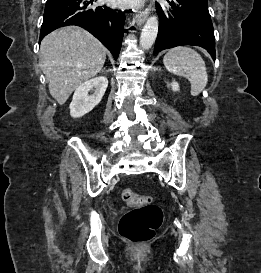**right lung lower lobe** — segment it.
Wrapping results in <instances>:
<instances>
[{
	"label": "right lung lower lobe",
	"mask_w": 261,
	"mask_h": 273,
	"mask_svg": "<svg viewBox=\"0 0 261 273\" xmlns=\"http://www.w3.org/2000/svg\"><path fill=\"white\" fill-rule=\"evenodd\" d=\"M94 0H47L40 41L53 30L77 25L88 30L112 53L116 60L121 48L124 12L107 6H92Z\"/></svg>",
	"instance_id": "obj_1"
}]
</instances>
